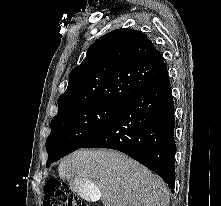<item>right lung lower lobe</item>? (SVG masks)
<instances>
[{
    "label": "right lung lower lobe",
    "instance_id": "obj_1",
    "mask_svg": "<svg viewBox=\"0 0 221 206\" xmlns=\"http://www.w3.org/2000/svg\"><path fill=\"white\" fill-rule=\"evenodd\" d=\"M174 102L168 73L126 104L81 148L119 150L157 173L174 192Z\"/></svg>",
    "mask_w": 221,
    "mask_h": 206
}]
</instances>
